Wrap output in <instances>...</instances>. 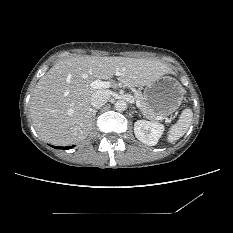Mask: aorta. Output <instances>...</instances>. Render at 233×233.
I'll return each mask as SVG.
<instances>
[{
	"label": "aorta",
	"instance_id": "aorta-1",
	"mask_svg": "<svg viewBox=\"0 0 233 233\" xmlns=\"http://www.w3.org/2000/svg\"><path fill=\"white\" fill-rule=\"evenodd\" d=\"M114 108L117 111H124L127 108V104L124 100H118L115 104H114Z\"/></svg>",
	"mask_w": 233,
	"mask_h": 233
}]
</instances>
